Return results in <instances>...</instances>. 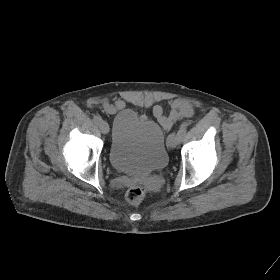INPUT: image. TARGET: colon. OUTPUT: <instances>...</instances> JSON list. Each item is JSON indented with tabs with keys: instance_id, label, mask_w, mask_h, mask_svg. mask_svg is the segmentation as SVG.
<instances>
[{
	"instance_id": "obj_1",
	"label": "colon",
	"mask_w": 280,
	"mask_h": 280,
	"mask_svg": "<svg viewBox=\"0 0 280 280\" xmlns=\"http://www.w3.org/2000/svg\"><path fill=\"white\" fill-rule=\"evenodd\" d=\"M145 188L140 185H135L129 188L125 194V198L127 202L130 204H138L140 203L145 196Z\"/></svg>"
}]
</instances>
